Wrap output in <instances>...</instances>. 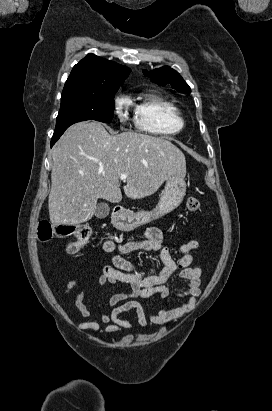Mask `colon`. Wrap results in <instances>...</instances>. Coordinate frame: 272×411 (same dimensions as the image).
<instances>
[{
    "mask_svg": "<svg viewBox=\"0 0 272 411\" xmlns=\"http://www.w3.org/2000/svg\"><path fill=\"white\" fill-rule=\"evenodd\" d=\"M186 209L192 213L197 212L200 209L199 200L196 197H189ZM91 235V226L84 223L52 225L47 221H41L38 225V237L43 242L55 238H73L66 248L69 254L78 252L89 241Z\"/></svg>",
    "mask_w": 272,
    "mask_h": 411,
    "instance_id": "1",
    "label": "colon"
}]
</instances>
